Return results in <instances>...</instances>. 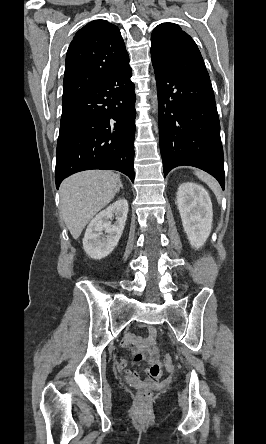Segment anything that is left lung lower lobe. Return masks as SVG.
Listing matches in <instances>:
<instances>
[{
    "instance_id": "obj_1",
    "label": "left lung lower lobe",
    "mask_w": 266,
    "mask_h": 444,
    "mask_svg": "<svg viewBox=\"0 0 266 444\" xmlns=\"http://www.w3.org/2000/svg\"><path fill=\"white\" fill-rule=\"evenodd\" d=\"M159 104L164 176L180 165L200 168L224 189L220 123L210 78L178 75L152 60Z\"/></svg>"
}]
</instances>
